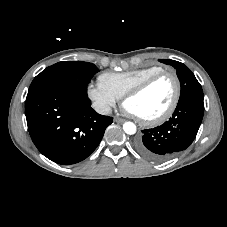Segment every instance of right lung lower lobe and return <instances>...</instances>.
Wrapping results in <instances>:
<instances>
[{
  "instance_id": "98d812e1",
  "label": "right lung lower lobe",
  "mask_w": 227,
  "mask_h": 227,
  "mask_svg": "<svg viewBox=\"0 0 227 227\" xmlns=\"http://www.w3.org/2000/svg\"><path fill=\"white\" fill-rule=\"evenodd\" d=\"M25 114L35 146L62 165L87 158L113 122L112 117L95 112L85 94L57 87L28 94Z\"/></svg>"
}]
</instances>
